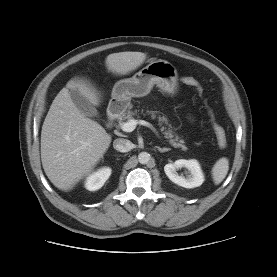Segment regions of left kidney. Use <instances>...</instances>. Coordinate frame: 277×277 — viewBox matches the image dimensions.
<instances>
[{
  "label": "left kidney",
  "mask_w": 277,
  "mask_h": 277,
  "mask_svg": "<svg viewBox=\"0 0 277 277\" xmlns=\"http://www.w3.org/2000/svg\"><path fill=\"white\" fill-rule=\"evenodd\" d=\"M185 167L189 171L186 177L180 176L177 173L179 168ZM164 171L167 177L175 184L184 188H195L204 182V175L200 164L195 159L185 160L179 159L174 163H169L164 166Z\"/></svg>",
  "instance_id": "1"
}]
</instances>
